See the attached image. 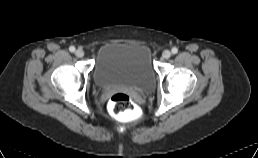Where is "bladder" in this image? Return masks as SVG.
Returning <instances> with one entry per match:
<instances>
[{
    "mask_svg": "<svg viewBox=\"0 0 258 158\" xmlns=\"http://www.w3.org/2000/svg\"><path fill=\"white\" fill-rule=\"evenodd\" d=\"M93 81L104 89L124 85L141 92L152 90L156 73L150 48L139 43L104 44L95 56Z\"/></svg>",
    "mask_w": 258,
    "mask_h": 158,
    "instance_id": "1",
    "label": "bladder"
}]
</instances>
